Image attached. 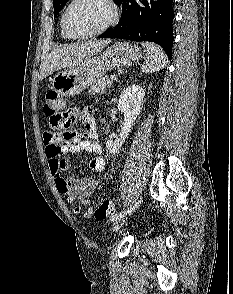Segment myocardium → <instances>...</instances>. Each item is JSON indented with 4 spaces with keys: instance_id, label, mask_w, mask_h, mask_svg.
Instances as JSON below:
<instances>
[{
    "instance_id": "myocardium-1",
    "label": "myocardium",
    "mask_w": 233,
    "mask_h": 294,
    "mask_svg": "<svg viewBox=\"0 0 233 294\" xmlns=\"http://www.w3.org/2000/svg\"><path fill=\"white\" fill-rule=\"evenodd\" d=\"M79 1L80 0H71V2L65 8L63 15H62V18H61L62 29L70 38L83 40V39H89V38L99 36V35L105 33L107 30H109L118 21L119 12H118V8H117L116 4L114 3V1L113 0H99L109 10V18L105 22V24L103 26H101L99 29H97L93 32L87 33V34L77 35V34L72 33L67 27V22H66L67 15H68V12L70 11V9Z\"/></svg>"
}]
</instances>
